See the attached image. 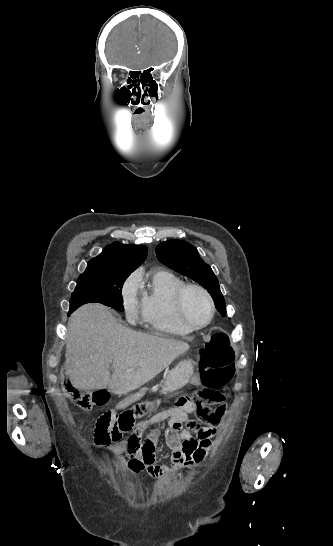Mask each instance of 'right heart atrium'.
<instances>
[{
    "mask_svg": "<svg viewBox=\"0 0 333 546\" xmlns=\"http://www.w3.org/2000/svg\"><path fill=\"white\" fill-rule=\"evenodd\" d=\"M137 274H132L124 283L122 288V303L126 318L129 321H135L140 313L141 304L138 299Z\"/></svg>",
    "mask_w": 333,
    "mask_h": 546,
    "instance_id": "d8ad5b80",
    "label": "right heart atrium"
}]
</instances>
